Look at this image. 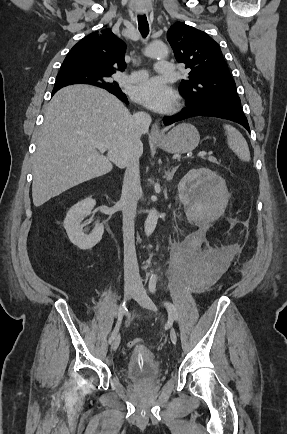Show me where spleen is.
<instances>
[{
    "mask_svg": "<svg viewBox=\"0 0 287 434\" xmlns=\"http://www.w3.org/2000/svg\"><path fill=\"white\" fill-rule=\"evenodd\" d=\"M227 135V143L229 148L239 157L240 160L249 162L250 151L248 144L242 134L231 125H224Z\"/></svg>",
    "mask_w": 287,
    "mask_h": 434,
    "instance_id": "1",
    "label": "spleen"
}]
</instances>
